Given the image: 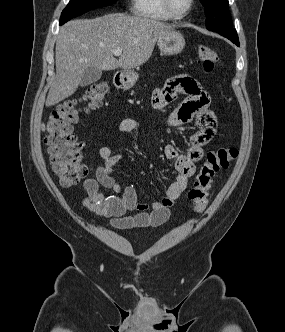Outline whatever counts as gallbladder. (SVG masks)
Masks as SVG:
<instances>
[{
	"instance_id": "1",
	"label": "gallbladder",
	"mask_w": 285,
	"mask_h": 332,
	"mask_svg": "<svg viewBox=\"0 0 285 332\" xmlns=\"http://www.w3.org/2000/svg\"><path fill=\"white\" fill-rule=\"evenodd\" d=\"M102 76V70L100 68L89 67L87 68L80 81L81 87H86L92 83L97 82Z\"/></svg>"
}]
</instances>
